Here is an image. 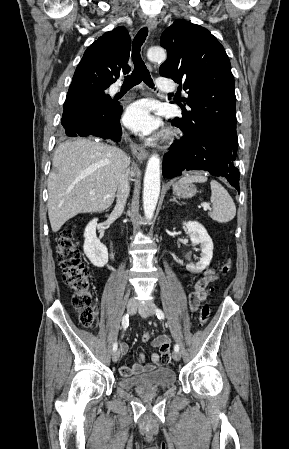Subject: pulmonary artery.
<instances>
[{"mask_svg": "<svg viewBox=\"0 0 289 449\" xmlns=\"http://www.w3.org/2000/svg\"><path fill=\"white\" fill-rule=\"evenodd\" d=\"M157 87L162 90L170 88V81L166 78L160 77L157 79Z\"/></svg>", "mask_w": 289, "mask_h": 449, "instance_id": "e3ab8cb5", "label": "pulmonary artery"}]
</instances>
